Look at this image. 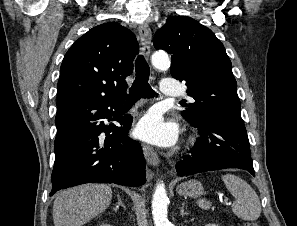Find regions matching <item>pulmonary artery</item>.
Listing matches in <instances>:
<instances>
[{"label":"pulmonary artery","mask_w":297,"mask_h":226,"mask_svg":"<svg viewBox=\"0 0 297 226\" xmlns=\"http://www.w3.org/2000/svg\"><path fill=\"white\" fill-rule=\"evenodd\" d=\"M160 90L163 96L177 98L184 95L182 88L177 84L176 79L166 78L161 82Z\"/></svg>","instance_id":"pulmonary-artery-1"}]
</instances>
